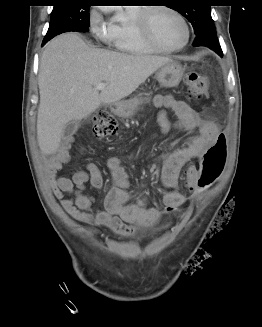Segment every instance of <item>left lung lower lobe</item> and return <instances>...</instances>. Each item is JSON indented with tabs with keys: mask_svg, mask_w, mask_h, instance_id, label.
<instances>
[{
	"mask_svg": "<svg viewBox=\"0 0 262 327\" xmlns=\"http://www.w3.org/2000/svg\"><path fill=\"white\" fill-rule=\"evenodd\" d=\"M193 46H207L217 52L221 57L223 55L214 25L197 34Z\"/></svg>",
	"mask_w": 262,
	"mask_h": 327,
	"instance_id": "0a47b994",
	"label": "left lung lower lobe"
}]
</instances>
